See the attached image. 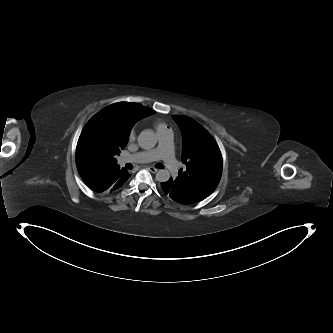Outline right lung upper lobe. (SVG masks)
Wrapping results in <instances>:
<instances>
[{"instance_id": "right-lung-upper-lobe-1", "label": "right lung upper lobe", "mask_w": 333, "mask_h": 333, "mask_svg": "<svg viewBox=\"0 0 333 333\" xmlns=\"http://www.w3.org/2000/svg\"><path fill=\"white\" fill-rule=\"evenodd\" d=\"M104 112L109 113L111 118L117 121L122 129L126 132H130V129L134 125L135 122L138 120L152 115L155 113L154 110L142 106L138 103H129V102H119L112 104L103 109ZM120 169V166L117 163H112L105 165L104 167L100 168L97 172L100 175H104L107 172L112 170Z\"/></svg>"}]
</instances>
